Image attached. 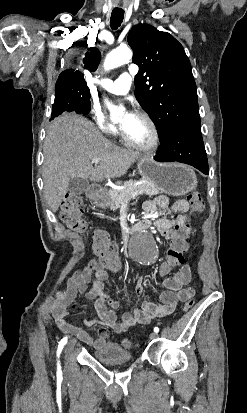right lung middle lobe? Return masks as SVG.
Returning a JSON list of instances; mask_svg holds the SVG:
<instances>
[{
	"instance_id": "obj_1",
	"label": "right lung middle lobe",
	"mask_w": 247,
	"mask_h": 413,
	"mask_svg": "<svg viewBox=\"0 0 247 413\" xmlns=\"http://www.w3.org/2000/svg\"><path fill=\"white\" fill-rule=\"evenodd\" d=\"M72 98L91 108L89 88L85 81H69L56 83L55 99Z\"/></svg>"
}]
</instances>
